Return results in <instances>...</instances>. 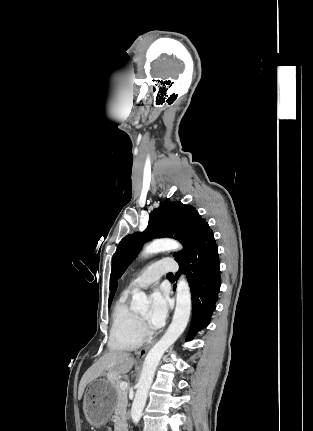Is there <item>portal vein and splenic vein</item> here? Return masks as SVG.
<instances>
[{"label":"portal vein and splenic vein","instance_id":"obj_1","mask_svg":"<svg viewBox=\"0 0 313 431\" xmlns=\"http://www.w3.org/2000/svg\"><path fill=\"white\" fill-rule=\"evenodd\" d=\"M119 386H120L121 389L125 390V389L128 388V382L121 381L120 384H119Z\"/></svg>","mask_w":313,"mask_h":431}]
</instances>
